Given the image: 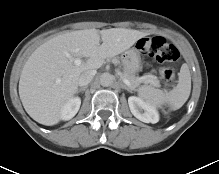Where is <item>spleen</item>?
<instances>
[{"mask_svg": "<svg viewBox=\"0 0 219 174\" xmlns=\"http://www.w3.org/2000/svg\"><path fill=\"white\" fill-rule=\"evenodd\" d=\"M191 91V75L187 64H183L179 73L177 86L164 92L150 85H143L138 88L139 97L154 107H161L169 104L172 110H177L187 101Z\"/></svg>", "mask_w": 219, "mask_h": 174, "instance_id": "1", "label": "spleen"}]
</instances>
